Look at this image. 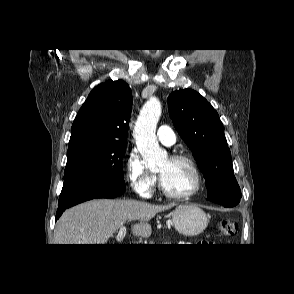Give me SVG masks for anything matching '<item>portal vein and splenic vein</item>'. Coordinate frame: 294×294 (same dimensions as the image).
Listing matches in <instances>:
<instances>
[{"instance_id": "obj_1", "label": "portal vein and splenic vein", "mask_w": 294, "mask_h": 294, "mask_svg": "<svg viewBox=\"0 0 294 294\" xmlns=\"http://www.w3.org/2000/svg\"><path fill=\"white\" fill-rule=\"evenodd\" d=\"M126 235V228L124 226H122L120 229H119V232L116 236V239L117 241H122L123 238L125 237Z\"/></svg>"}]
</instances>
